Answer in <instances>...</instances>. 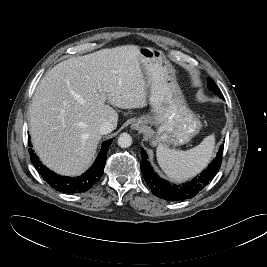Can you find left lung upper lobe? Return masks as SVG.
<instances>
[{"label": "left lung upper lobe", "mask_w": 267, "mask_h": 267, "mask_svg": "<svg viewBox=\"0 0 267 267\" xmlns=\"http://www.w3.org/2000/svg\"><path fill=\"white\" fill-rule=\"evenodd\" d=\"M208 87L211 90L215 91L220 98H222V95L220 94L218 87L216 86V84L214 83V81L211 78H208Z\"/></svg>", "instance_id": "1"}]
</instances>
